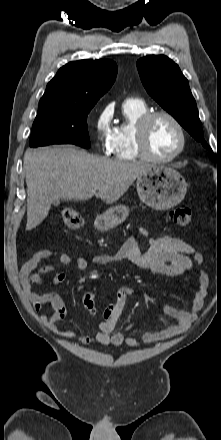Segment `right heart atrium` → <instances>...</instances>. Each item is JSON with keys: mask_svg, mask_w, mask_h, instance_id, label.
<instances>
[{"mask_svg": "<svg viewBox=\"0 0 221 440\" xmlns=\"http://www.w3.org/2000/svg\"><path fill=\"white\" fill-rule=\"evenodd\" d=\"M111 121L112 108L109 106L104 107L102 110H100L94 121L96 139L99 146L103 150H110L111 148L114 134V128L111 124Z\"/></svg>", "mask_w": 221, "mask_h": 440, "instance_id": "obj_1", "label": "right heart atrium"}]
</instances>
